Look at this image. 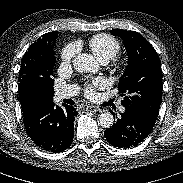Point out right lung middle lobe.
Segmentation results:
<instances>
[{
    "mask_svg": "<svg viewBox=\"0 0 183 183\" xmlns=\"http://www.w3.org/2000/svg\"><path fill=\"white\" fill-rule=\"evenodd\" d=\"M55 58L51 56L48 62H45L46 74L39 79L29 83L21 94V101L24 105L35 103L38 101L52 99L54 95L53 84L54 80L51 78Z\"/></svg>",
    "mask_w": 183,
    "mask_h": 183,
    "instance_id": "1",
    "label": "right lung middle lobe"
}]
</instances>
